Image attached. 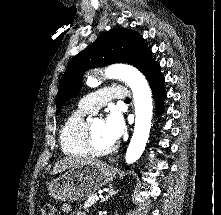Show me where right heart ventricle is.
<instances>
[{"label":"right heart ventricle","mask_w":221,"mask_h":215,"mask_svg":"<svg viewBox=\"0 0 221 215\" xmlns=\"http://www.w3.org/2000/svg\"><path fill=\"white\" fill-rule=\"evenodd\" d=\"M89 111L80 108L72 112L64 122L59 135L62 151L67 155L85 156L89 154L85 137L87 123L85 116Z\"/></svg>","instance_id":"obj_1"}]
</instances>
